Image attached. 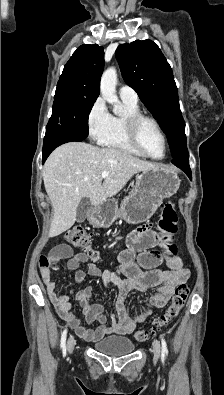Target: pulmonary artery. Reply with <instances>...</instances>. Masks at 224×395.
<instances>
[{"label":"pulmonary artery","instance_id":"e3ab8cb5","mask_svg":"<svg viewBox=\"0 0 224 395\" xmlns=\"http://www.w3.org/2000/svg\"><path fill=\"white\" fill-rule=\"evenodd\" d=\"M119 95L120 98L123 100H127L133 103L138 102V94L136 91L128 85H122L119 88Z\"/></svg>","mask_w":224,"mask_h":395}]
</instances>
